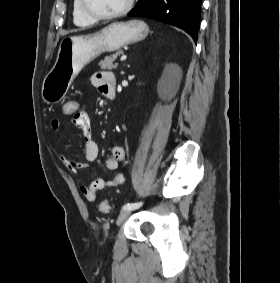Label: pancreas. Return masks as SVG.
Masks as SVG:
<instances>
[{"label": "pancreas", "instance_id": "obj_1", "mask_svg": "<svg viewBox=\"0 0 280 283\" xmlns=\"http://www.w3.org/2000/svg\"><path fill=\"white\" fill-rule=\"evenodd\" d=\"M123 51L119 50L116 53L106 56L103 60L100 61L99 65L101 69H114L117 67V63H114L118 56L122 55Z\"/></svg>", "mask_w": 280, "mask_h": 283}]
</instances>
